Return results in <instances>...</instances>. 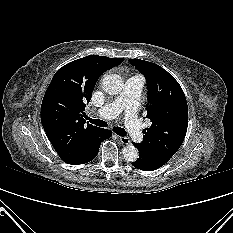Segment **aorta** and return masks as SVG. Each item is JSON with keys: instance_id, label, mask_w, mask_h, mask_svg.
Here are the masks:
<instances>
[{"instance_id": "obj_1", "label": "aorta", "mask_w": 233, "mask_h": 233, "mask_svg": "<svg viewBox=\"0 0 233 233\" xmlns=\"http://www.w3.org/2000/svg\"><path fill=\"white\" fill-rule=\"evenodd\" d=\"M124 82L120 75L109 74L102 80V88L110 95L118 94L123 88ZM122 155L125 161L134 162L137 160L139 154L137 148L133 145H127L122 149Z\"/></svg>"}]
</instances>
